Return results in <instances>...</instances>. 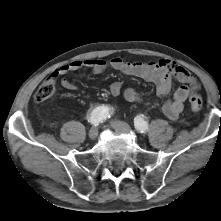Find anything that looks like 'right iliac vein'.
I'll use <instances>...</instances> for the list:
<instances>
[{
  "instance_id": "63e3f726",
  "label": "right iliac vein",
  "mask_w": 221,
  "mask_h": 221,
  "mask_svg": "<svg viewBox=\"0 0 221 221\" xmlns=\"http://www.w3.org/2000/svg\"><path fill=\"white\" fill-rule=\"evenodd\" d=\"M88 136L91 140H95L98 136V128L97 127H92L89 130Z\"/></svg>"
}]
</instances>
